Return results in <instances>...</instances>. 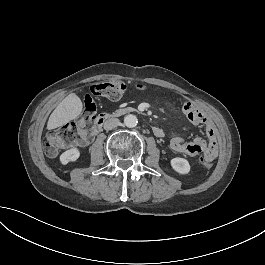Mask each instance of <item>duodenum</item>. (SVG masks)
<instances>
[{
	"label": "duodenum",
	"instance_id": "duodenum-1",
	"mask_svg": "<svg viewBox=\"0 0 265 265\" xmlns=\"http://www.w3.org/2000/svg\"><path fill=\"white\" fill-rule=\"evenodd\" d=\"M110 117L109 114H101L97 117L95 120L93 129H95L98 133L101 132L104 123L106 120ZM153 134L158 137V138H163L164 137V131L160 127H153L152 129Z\"/></svg>",
	"mask_w": 265,
	"mask_h": 265
}]
</instances>
